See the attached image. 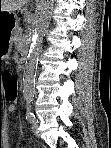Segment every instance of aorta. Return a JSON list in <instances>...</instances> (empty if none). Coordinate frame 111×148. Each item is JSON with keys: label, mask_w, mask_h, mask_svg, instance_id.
Segmentation results:
<instances>
[{"label": "aorta", "mask_w": 111, "mask_h": 148, "mask_svg": "<svg viewBox=\"0 0 111 148\" xmlns=\"http://www.w3.org/2000/svg\"><path fill=\"white\" fill-rule=\"evenodd\" d=\"M54 0H40L35 12V29L23 74V96L31 102L35 92V73L43 37L49 25Z\"/></svg>", "instance_id": "1"}]
</instances>
